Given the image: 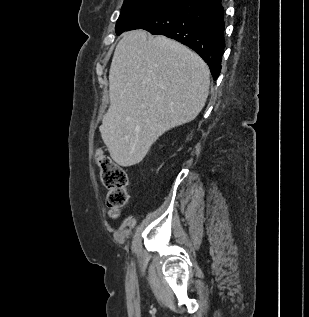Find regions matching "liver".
Returning a JSON list of instances; mask_svg holds the SVG:
<instances>
[{
	"mask_svg": "<svg viewBox=\"0 0 309 317\" xmlns=\"http://www.w3.org/2000/svg\"><path fill=\"white\" fill-rule=\"evenodd\" d=\"M210 71L195 52L165 36L127 32L109 71L110 106L101 137L112 159L132 166L165 132L194 120L209 94Z\"/></svg>",
	"mask_w": 309,
	"mask_h": 317,
	"instance_id": "obj_1",
	"label": "liver"
}]
</instances>
